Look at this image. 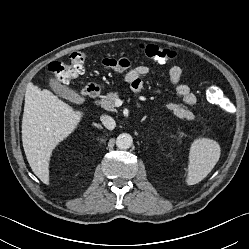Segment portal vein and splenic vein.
<instances>
[{
	"mask_svg": "<svg viewBox=\"0 0 249 249\" xmlns=\"http://www.w3.org/2000/svg\"><path fill=\"white\" fill-rule=\"evenodd\" d=\"M122 104V101L120 99H117L116 102H115V105L116 106H121Z\"/></svg>",
	"mask_w": 249,
	"mask_h": 249,
	"instance_id": "1",
	"label": "portal vein and splenic vein"
}]
</instances>
